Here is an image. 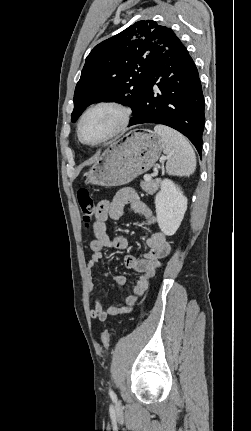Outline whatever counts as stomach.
<instances>
[{
	"instance_id": "obj_1",
	"label": "stomach",
	"mask_w": 251,
	"mask_h": 431,
	"mask_svg": "<svg viewBox=\"0 0 251 431\" xmlns=\"http://www.w3.org/2000/svg\"><path fill=\"white\" fill-rule=\"evenodd\" d=\"M162 140L149 129L130 131L108 146L85 173L86 183L122 186L154 166L161 155Z\"/></svg>"
}]
</instances>
